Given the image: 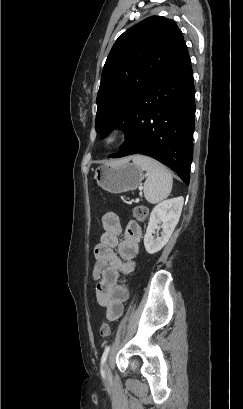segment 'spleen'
<instances>
[{
	"label": "spleen",
	"mask_w": 243,
	"mask_h": 409,
	"mask_svg": "<svg viewBox=\"0 0 243 409\" xmlns=\"http://www.w3.org/2000/svg\"><path fill=\"white\" fill-rule=\"evenodd\" d=\"M135 165L147 172L144 183V196L152 204H156L169 196L172 190L173 179L168 169L158 161L142 156L132 157Z\"/></svg>",
	"instance_id": "3e777b00"
}]
</instances>
